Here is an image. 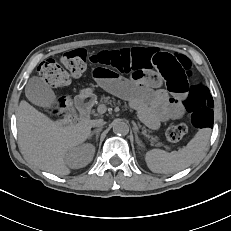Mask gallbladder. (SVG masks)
<instances>
[{"instance_id":"bac80fb5","label":"gallbladder","mask_w":231,"mask_h":231,"mask_svg":"<svg viewBox=\"0 0 231 231\" xmlns=\"http://www.w3.org/2000/svg\"><path fill=\"white\" fill-rule=\"evenodd\" d=\"M25 94L30 102L43 108L56 101L53 90L38 77L30 78L25 88Z\"/></svg>"}]
</instances>
